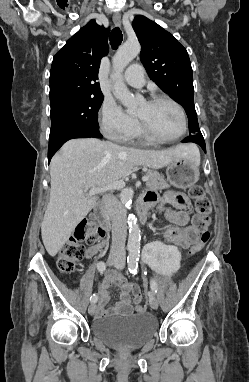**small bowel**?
<instances>
[{
  "mask_svg": "<svg viewBox=\"0 0 249 382\" xmlns=\"http://www.w3.org/2000/svg\"><path fill=\"white\" fill-rule=\"evenodd\" d=\"M143 200L149 205H157L160 210L166 205L175 208L173 211H166L167 217L173 224V227L165 232V236L171 240L174 245L182 248H188L199 237V230L194 224L189 223L192 210L190 199L183 193L167 191L161 197L156 192L149 191L145 194ZM106 246L105 242L93 245L88 248L86 257L102 251ZM111 285L120 287V300L110 309L106 308L109 301V288ZM140 294L138 288L127 281L126 277L117 272L109 271L106 273L99 287L100 300L97 306L99 317H107L118 314H129L131 312L130 294Z\"/></svg>",
  "mask_w": 249,
  "mask_h": 382,
  "instance_id": "obj_1",
  "label": "small bowel"
}]
</instances>
